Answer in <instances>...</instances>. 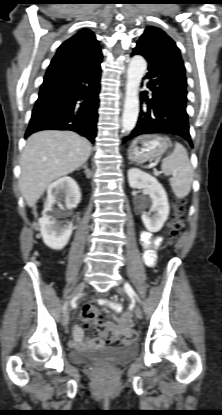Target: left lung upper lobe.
<instances>
[{
  "instance_id": "obj_1",
  "label": "left lung upper lobe",
  "mask_w": 222,
  "mask_h": 415,
  "mask_svg": "<svg viewBox=\"0 0 222 415\" xmlns=\"http://www.w3.org/2000/svg\"><path fill=\"white\" fill-rule=\"evenodd\" d=\"M137 43L181 57L175 42L163 30L156 27H147Z\"/></svg>"
}]
</instances>
